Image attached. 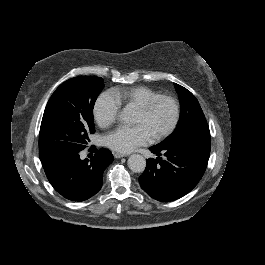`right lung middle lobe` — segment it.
<instances>
[{
	"mask_svg": "<svg viewBox=\"0 0 265 265\" xmlns=\"http://www.w3.org/2000/svg\"><path fill=\"white\" fill-rule=\"evenodd\" d=\"M104 87L100 77L79 76L62 83L50 97L39 134V157L78 153L95 132L93 107Z\"/></svg>",
	"mask_w": 265,
	"mask_h": 265,
	"instance_id": "1",
	"label": "right lung middle lobe"
}]
</instances>
